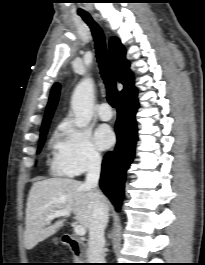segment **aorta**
Here are the masks:
<instances>
[{"instance_id": "obj_1", "label": "aorta", "mask_w": 205, "mask_h": 265, "mask_svg": "<svg viewBox=\"0 0 205 265\" xmlns=\"http://www.w3.org/2000/svg\"><path fill=\"white\" fill-rule=\"evenodd\" d=\"M94 82L91 78H84L75 88L71 108L74 113V124L77 127L87 126L93 115Z\"/></svg>"}]
</instances>
